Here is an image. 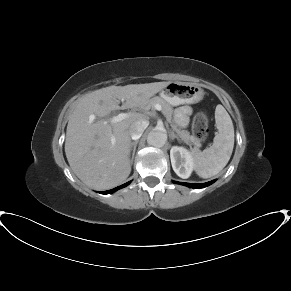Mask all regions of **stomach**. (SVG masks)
<instances>
[{
    "mask_svg": "<svg viewBox=\"0 0 291 291\" xmlns=\"http://www.w3.org/2000/svg\"><path fill=\"white\" fill-rule=\"evenodd\" d=\"M203 95L204 91L200 87L183 82H170L160 92V96L171 105L196 103Z\"/></svg>",
    "mask_w": 291,
    "mask_h": 291,
    "instance_id": "obj_1",
    "label": "stomach"
}]
</instances>
